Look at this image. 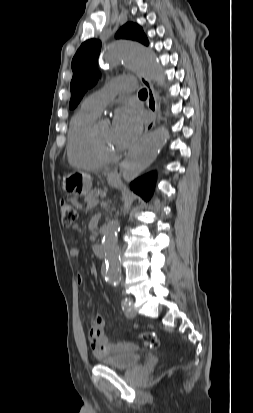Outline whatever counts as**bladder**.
I'll return each instance as SVG.
<instances>
[{"label": "bladder", "instance_id": "bladder-1", "mask_svg": "<svg viewBox=\"0 0 253 413\" xmlns=\"http://www.w3.org/2000/svg\"><path fill=\"white\" fill-rule=\"evenodd\" d=\"M141 358V353L136 348L128 347L102 357L100 363L115 369L127 370L136 366Z\"/></svg>", "mask_w": 253, "mask_h": 413}]
</instances>
